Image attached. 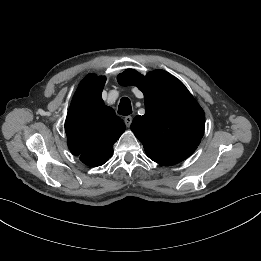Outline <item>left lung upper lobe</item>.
<instances>
[{"mask_svg": "<svg viewBox=\"0 0 261 261\" xmlns=\"http://www.w3.org/2000/svg\"><path fill=\"white\" fill-rule=\"evenodd\" d=\"M117 79L138 86L144 93L145 115L136 116L131 129L147 156L165 166L188 158L203 137L205 116L183 83L163 70L144 77L127 69Z\"/></svg>", "mask_w": 261, "mask_h": 261, "instance_id": "5c2ea615", "label": "left lung upper lobe"}]
</instances>
